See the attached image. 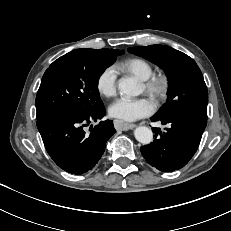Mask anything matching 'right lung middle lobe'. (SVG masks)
I'll use <instances>...</instances> for the list:
<instances>
[{
	"instance_id": "right-lung-middle-lobe-1",
	"label": "right lung middle lobe",
	"mask_w": 231,
	"mask_h": 231,
	"mask_svg": "<svg viewBox=\"0 0 231 231\" xmlns=\"http://www.w3.org/2000/svg\"><path fill=\"white\" fill-rule=\"evenodd\" d=\"M115 60L100 50L83 48L54 61L36 96L37 120L60 113L85 115L102 108L98 80Z\"/></svg>"
}]
</instances>
